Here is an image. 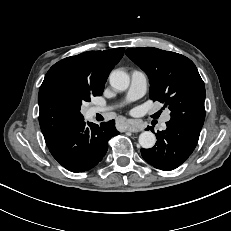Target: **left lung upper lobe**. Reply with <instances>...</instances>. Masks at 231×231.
Returning <instances> with one entry per match:
<instances>
[{
	"label": "left lung upper lobe",
	"mask_w": 231,
	"mask_h": 231,
	"mask_svg": "<svg viewBox=\"0 0 231 231\" xmlns=\"http://www.w3.org/2000/svg\"><path fill=\"white\" fill-rule=\"evenodd\" d=\"M126 55L148 75L150 98L170 109V121L200 132L206 93L194 63L181 54L153 47L127 49Z\"/></svg>",
	"instance_id": "5c2ea615"
}]
</instances>
